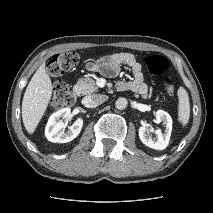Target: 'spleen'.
I'll return each mask as SVG.
<instances>
[{"instance_id":"spleen-1","label":"spleen","mask_w":213,"mask_h":213,"mask_svg":"<svg viewBox=\"0 0 213 213\" xmlns=\"http://www.w3.org/2000/svg\"><path fill=\"white\" fill-rule=\"evenodd\" d=\"M178 95V120L183 127L188 124L190 118V103L187 91L180 87L177 91Z\"/></svg>"}]
</instances>
